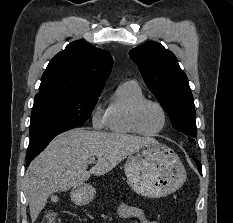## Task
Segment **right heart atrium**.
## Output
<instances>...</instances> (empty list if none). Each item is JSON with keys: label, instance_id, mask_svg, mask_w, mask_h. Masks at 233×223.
<instances>
[{"label": "right heart atrium", "instance_id": "right-heart-atrium-1", "mask_svg": "<svg viewBox=\"0 0 233 223\" xmlns=\"http://www.w3.org/2000/svg\"><path fill=\"white\" fill-rule=\"evenodd\" d=\"M91 121L95 129H102L105 126V117L96 107L91 111Z\"/></svg>", "mask_w": 233, "mask_h": 223}]
</instances>
